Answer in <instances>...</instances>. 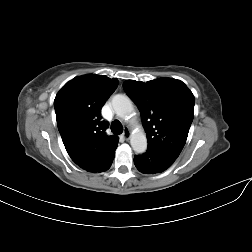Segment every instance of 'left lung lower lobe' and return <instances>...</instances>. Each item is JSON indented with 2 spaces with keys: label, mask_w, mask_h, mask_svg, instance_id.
Masks as SVG:
<instances>
[{
  "label": "left lung lower lobe",
  "mask_w": 252,
  "mask_h": 252,
  "mask_svg": "<svg viewBox=\"0 0 252 252\" xmlns=\"http://www.w3.org/2000/svg\"><path fill=\"white\" fill-rule=\"evenodd\" d=\"M175 160L174 156L162 150L148 148L145 153L134 157V164L144 174H155L167 170Z\"/></svg>",
  "instance_id": "obj_1"
}]
</instances>
